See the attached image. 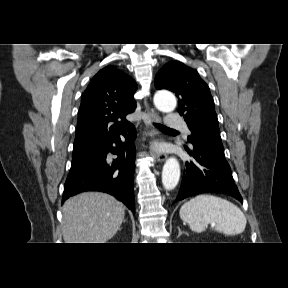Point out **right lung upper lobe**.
Returning a JSON list of instances; mask_svg holds the SVG:
<instances>
[{"instance_id":"right-lung-upper-lobe-1","label":"right lung upper lobe","mask_w":288,"mask_h":288,"mask_svg":"<svg viewBox=\"0 0 288 288\" xmlns=\"http://www.w3.org/2000/svg\"><path fill=\"white\" fill-rule=\"evenodd\" d=\"M136 88L131 77L111 65L93 77L82 96L73 153L83 155L131 126L125 116L136 108Z\"/></svg>"}]
</instances>
